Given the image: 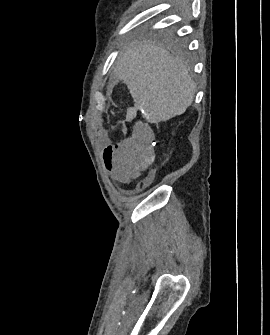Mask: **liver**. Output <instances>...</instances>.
Here are the masks:
<instances>
[{
  "label": "liver",
  "instance_id": "liver-1",
  "mask_svg": "<svg viewBox=\"0 0 270 335\" xmlns=\"http://www.w3.org/2000/svg\"><path fill=\"white\" fill-rule=\"evenodd\" d=\"M115 72L150 124L181 116L193 102L196 84L183 60L157 42L134 40L124 46Z\"/></svg>",
  "mask_w": 270,
  "mask_h": 335
}]
</instances>
